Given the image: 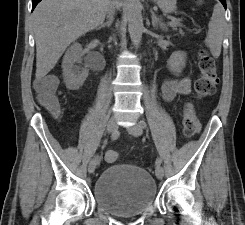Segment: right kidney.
Wrapping results in <instances>:
<instances>
[{
    "mask_svg": "<svg viewBox=\"0 0 245 225\" xmlns=\"http://www.w3.org/2000/svg\"><path fill=\"white\" fill-rule=\"evenodd\" d=\"M76 63H82V47L79 43H74L63 57V77L69 90H78L88 77V69L81 68Z\"/></svg>",
    "mask_w": 245,
    "mask_h": 225,
    "instance_id": "right-kidney-1",
    "label": "right kidney"
}]
</instances>
